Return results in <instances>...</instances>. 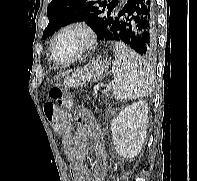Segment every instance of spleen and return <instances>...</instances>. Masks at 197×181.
Instances as JSON below:
<instances>
[{
    "label": "spleen",
    "mask_w": 197,
    "mask_h": 181,
    "mask_svg": "<svg viewBox=\"0 0 197 181\" xmlns=\"http://www.w3.org/2000/svg\"><path fill=\"white\" fill-rule=\"evenodd\" d=\"M112 94L117 100L138 99L153 91L154 73L141 56L123 42L115 45Z\"/></svg>",
    "instance_id": "obj_1"
}]
</instances>
